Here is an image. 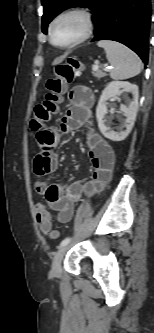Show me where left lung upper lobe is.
I'll return each mask as SVG.
<instances>
[{
  "label": "left lung upper lobe",
  "mask_w": 154,
  "mask_h": 333,
  "mask_svg": "<svg viewBox=\"0 0 154 333\" xmlns=\"http://www.w3.org/2000/svg\"><path fill=\"white\" fill-rule=\"evenodd\" d=\"M98 1L99 0H41L44 8V14L42 16V31L46 33L48 24L63 10L73 6H86L93 10Z\"/></svg>",
  "instance_id": "obj_1"
}]
</instances>
